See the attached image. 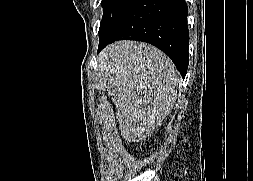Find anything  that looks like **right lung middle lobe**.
Returning <instances> with one entry per match:
<instances>
[{
	"mask_svg": "<svg viewBox=\"0 0 253 181\" xmlns=\"http://www.w3.org/2000/svg\"><path fill=\"white\" fill-rule=\"evenodd\" d=\"M133 2V0H102L103 17L100 23L99 35H101Z\"/></svg>",
	"mask_w": 253,
	"mask_h": 181,
	"instance_id": "obj_1",
	"label": "right lung middle lobe"
}]
</instances>
